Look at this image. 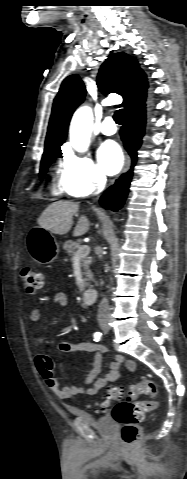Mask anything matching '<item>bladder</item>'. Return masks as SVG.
<instances>
[{
	"mask_svg": "<svg viewBox=\"0 0 187 479\" xmlns=\"http://www.w3.org/2000/svg\"><path fill=\"white\" fill-rule=\"evenodd\" d=\"M72 413L78 417L85 419L89 424L95 427L99 433L103 435H110L115 430V423L110 417L96 418L84 410H75Z\"/></svg>",
	"mask_w": 187,
	"mask_h": 479,
	"instance_id": "bladder-1",
	"label": "bladder"
}]
</instances>
